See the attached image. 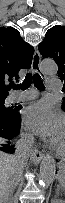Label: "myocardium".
Listing matches in <instances>:
<instances>
[{
  "label": "myocardium",
  "mask_w": 65,
  "mask_h": 203,
  "mask_svg": "<svg viewBox=\"0 0 65 203\" xmlns=\"http://www.w3.org/2000/svg\"><path fill=\"white\" fill-rule=\"evenodd\" d=\"M53 148H54V150L56 151L57 154H59V155H64L65 154V147L64 148H59L54 144Z\"/></svg>",
  "instance_id": "myocardium-1"
}]
</instances>
